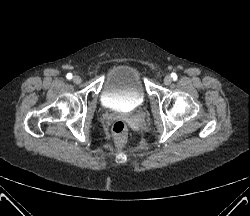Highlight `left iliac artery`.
<instances>
[{
	"mask_svg": "<svg viewBox=\"0 0 250 216\" xmlns=\"http://www.w3.org/2000/svg\"><path fill=\"white\" fill-rule=\"evenodd\" d=\"M171 77H172L174 80L177 79V75H176L175 73H172V74H171Z\"/></svg>",
	"mask_w": 250,
	"mask_h": 216,
	"instance_id": "1",
	"label": "left iliac artery"
}]
</instances>
